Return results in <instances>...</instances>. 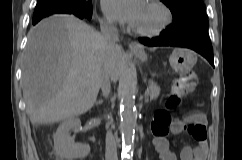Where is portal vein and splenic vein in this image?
Returning a JSON list of instances; mask_svg holds the SVG:
<instances>
[{"mask_svg":"<svg viewBox=\"0 0 242 160\" xmlns=\"http://www.w3.org/2000/svg\"><path fill=\"white\" fill-rule=\"evenodd\" d=\"M145 96H148V92L147 91L145 92Z\"/></svg>","mask_w":242,"mask_h":160,"instance_id":"1","label":"portal vein and splenic vein"}]
</instances>
